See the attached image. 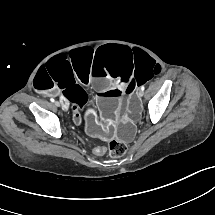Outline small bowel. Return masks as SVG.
Segmentation results:
<instances>
[{"mask_svg": "<svg viewBox=\"0 0 215 215\" xmlns=\"http://www.w3.org/2000/svg\"><path fill=\"white\" fill-rule=\"evenodd\" d=\"M96 153L102 154L103 153V149L101 147H98L95 149Z\"/></svg>", "mask_w": 215, "mask_h": 215, "instance_id": "obj_1", "label": "small bowel"}]
</instances>
